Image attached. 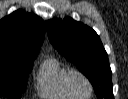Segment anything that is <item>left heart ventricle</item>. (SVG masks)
<instances>
[{
	"label": "left heart ventricle",
	"instance_id": "obj_1",
	"mask_svg": "<svg viewBox=\"0 0 128 99\" xmlns=\"http://www.w3.org/2000/svg\"><path fill=\"white\" fill-rule=\"evenodd\" d=\"M72 87L74 92L80 97H86L89 94V87L87 83L80 77L73 78Z\"/></svg>",
	"mask_w": 128,
	"mask_h": 99
}]
</instances>
